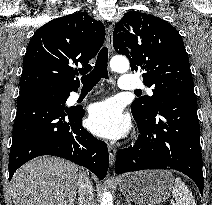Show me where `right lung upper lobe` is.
Masks as SVG:
<instances>
[{"mask_svg": "<svg viewBox=\"0 0 212 205\" xmlns=\"http://www.w3.org/2000/svg\"><path fill=\"white\" fill-rule=\"evenodd\" d=\"M105 38L104 25L85 13L54 19L32 36L23 60L20 95L45 87L77 90ZM73 65L82 66L74 68Z\"/></svg>", "mask_w": 212, "mask_h": 205, "instance_id": "1", "label": "right lung upper lobe"}]
</instances>
